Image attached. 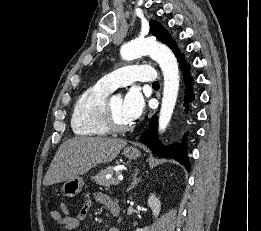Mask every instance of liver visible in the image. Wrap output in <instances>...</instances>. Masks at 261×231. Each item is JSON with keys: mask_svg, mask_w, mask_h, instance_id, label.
I'll return each instance as SVG.
<instances>
[{"mask_svg": "<svg viewBox=\"0 0 261 231\" xmlns=\"http://www.w3.org/2000/svg\"><path fill=\"white\" fill-rule=\"evenodd\" d=\"M126 144L123 139L106 137L69 139L58 148L43 184L61 183L88 172L98 164L111 162Z\"/></svg>", "mask_w": 261, "mask_h": 231, "instance_id": "liver-1", "label": "liver"}]
</instances>
